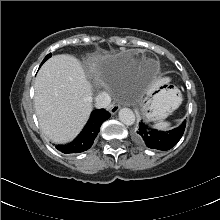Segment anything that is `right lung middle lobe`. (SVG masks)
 <instances>
[{
  "label": "right lung middle lobe",
  "mask_w": 220,
  "mask_h": 220,
  "mask_svg": "<svg viewBox=\"0 0 220 220\" xmlns=\"http://www.w3.org/2000/svg\"><path fill=\"white\" fill-rule=\"evenodd\" d=\"M51 57V54H48L45 58H44V60H43V62L41 63V65L47 60V59H49Z\"/></svg>",
  "instance_id": "obj_1"
}]
</instances>
